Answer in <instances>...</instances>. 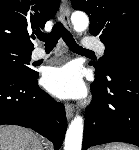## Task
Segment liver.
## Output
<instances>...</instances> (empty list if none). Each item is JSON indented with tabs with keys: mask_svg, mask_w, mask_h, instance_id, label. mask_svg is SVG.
<instances>
[{
	"mask_svg": "<svg viewBox=\"0 0 139 150\" xmlns=\"http://www.w3.org/2000/svg\"><path fill=\"white\" fill-rule=\"evenodd\" d=\"M0 150H43L33 131L19 126H0Z\"/></svg>",
	"mask_w": 139,
	"mask_h": 150,
	"instance_id": "obj_1",
	"label": "liver"
}]
</instances>
